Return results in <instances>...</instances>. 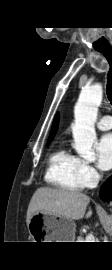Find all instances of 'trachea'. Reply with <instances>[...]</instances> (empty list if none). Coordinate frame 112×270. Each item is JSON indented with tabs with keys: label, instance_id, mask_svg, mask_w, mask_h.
<instances>
[{
	"label": "trachea",
	"instance_id": "1",
	"mask_svg": "<svg viewBox=\"0 0 112 270\" xmlns=\"http://www.w3.org/2000/svg\"><path fill=\"white\" fill-rule=\"evenodd\" d=\"M97 51L101 52L105 56L110 66V69L107 74L106 92L107 97L112 105V47L97 49Z\"/></svg>",
	"mask_w": 112,
	"mask_h": 270
}]
</instances>
